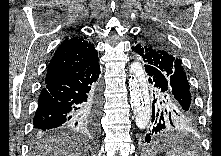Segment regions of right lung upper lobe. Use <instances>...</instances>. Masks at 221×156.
<instances>
[{
    "mask_svg": "<svg viewBox=\"0 0 221 156\" xmlns=\"http://www.w3.org/2000/svg\"><path fill=\"white\" fill-rule=\"evenodd\" d=\"M98 62V54L86 36L66 38L57 48L49 64L45 84L80 72Z\"/></svg>",
    "mask_w": 221,
    "mask_h": 156,
    "instance_id": "1",
    "label": "right lung upper lobe"
}]
</instances>
